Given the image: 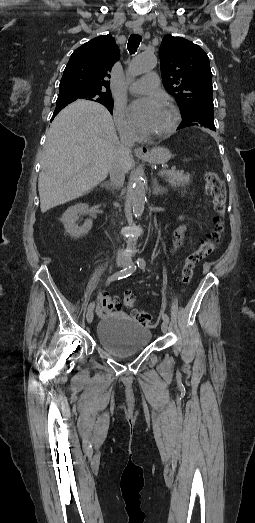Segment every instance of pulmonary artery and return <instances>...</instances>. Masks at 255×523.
Wrapping results in <instances>:
<instances>
[{
  "instance_id": "e3ab8cb5",
  "label": "pulmonary artery",
  "mask_w": 255,
  "mask_h": 523,
  "mask_svg": "<svg viewBox=\"0 0 255 523\" xmlns=\"http://www.w3.org/2000/svg\"><path fill=\"white\" fill-rule=\"evenodd\" d=\"M159 80L155 72L150 71L147 75H143L140 79L131 86V90L134 92H144L146 97L159 95L161 88L159 87Z\"/></svg>"
}]
</instances>
